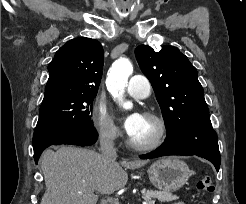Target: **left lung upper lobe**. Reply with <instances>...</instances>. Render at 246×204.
Here are the masks:
<instances>
[{"label":"left lung upper lobe","instance_id":"1","mask_svg":"<svg viewBox=\"0 0 246 204\" xmlns=\"http://www.w3.org/2000/svg\"><path fill=\"white\" fill-rule=\"evenodd\" d=\"M135 55L156 93L167 134L182 125L210 120L197 70L176 47L165 45L158 51L140 45Z\"/></svg>","mask_w":246,"mask_h":204}]
</instances>
